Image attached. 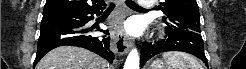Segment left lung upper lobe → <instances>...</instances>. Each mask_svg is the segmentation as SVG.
<instances>
[{
    "label": "left lung upper lobe",
    "mask_w": 246,
    "mask_h": 69,
    "mask_svg": "<svg viewBox=\"0 0 246 69\" xmlns=\"http://www.w3.org/2000/svg\"><path fill=\"white\" fill-rule=\"evenodd\" d=\"M160 4L158 9L165 14L162 20L167 24V29L201 32L196 0H166Z\"/></svg>",
    "instance_id": "5c2ea615"
}]
</instances>
